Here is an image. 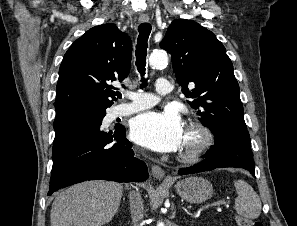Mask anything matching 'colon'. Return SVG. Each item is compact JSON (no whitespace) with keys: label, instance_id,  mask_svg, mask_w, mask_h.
<instances>
[{"label":"colon","instance_id":"1","mask_svg":"<svg viewBox=\"0 0 297 226\" xmlns=\"http://www.w3.org/2000/svg\"><path fill=\"white\" fill-rule=\"evenodd\" d=\"M236 222L238 226H263L262 223L258 221H254L252 219L242 217V216H237Z\"/></svg>","mask_w":297,"mask_h":226}]
</instances>
